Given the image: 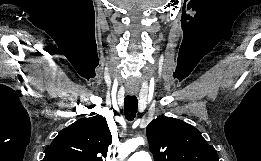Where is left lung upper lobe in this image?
<instances>
[{"instance_id":"1","label":"left lung upper lobe","mask_w":261,"mask_h":161,"mask_svg":"<svg viewBox=\"0 0 261 161\" xmlns=\"http://www.w3.org/2000/svg\"><path fill=\"white\" fill-rule=\"evenodd\" d=\"M149 149L154 161H218L198 129L172 117H158L147 127Z\"/></svg>"}]
</instances>
